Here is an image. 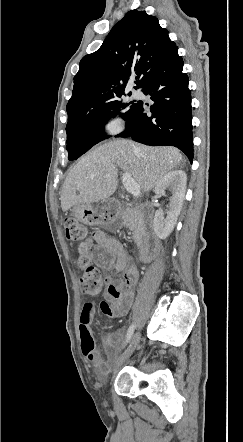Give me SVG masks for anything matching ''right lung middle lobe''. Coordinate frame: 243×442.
<instances>
[{
	"mask_svg": "<svg viewBox=\"0 0 243 442\" xmlns=\"http://www.w3.org/2000/svg\"><path fill=\"white\" fill-rule=\"evenodd\" d=\"M120 94L111 100L68 119L67 151L68 159L74 160L87 152L91 147L107 139L104 128L109 119L115 114L128 121L134 114L137 103L132 101L124 104L120 101ZM128 95H131L129 93ZM132 104L130 109L127 106Z\"/></svg>",
	"mask_w": 243,
	"mask_h": 442,
	"instance_id": "obj_1",
	"label": "right lung middle lobe"
}]
</instances>
